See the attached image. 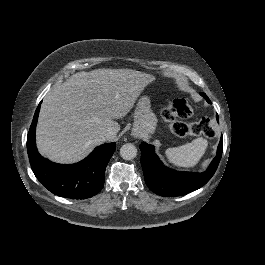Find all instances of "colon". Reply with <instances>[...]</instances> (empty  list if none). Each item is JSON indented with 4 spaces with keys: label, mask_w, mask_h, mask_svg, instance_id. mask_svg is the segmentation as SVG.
Returning <instances> with one entry per match:
<instances>
[{
    "label": "colon",
    "mask_w": 265,
    "mask_h": 265,
    "mask_svg": "<svg viewBox=\"0 0 265 265\" xmlns=\"http://www.w3.org/2000/svg\"><path fill=\"white\" fill-rule=\"evenodd\" d=\"M193 113V108L185 99H175L163 112L162 118L170 130L179 137L189 135L215 137L216 130L210 125L207 118H202L194 123L185 122Z\"/></svg>",
    "instance_id": "5ec220e1"
}]
</instances>
